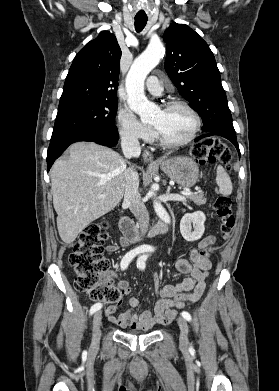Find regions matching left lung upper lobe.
Returning <instances> with one entry per match:
<instances>
[{
    "instance_id": "obj_1",
    "label": "left lung upper lobe",
    "mask_w": 279,
    "mask_h": 391,
    "mask_svg": "<svg viewBox=\"0 0 279 391\" xmlns=\"http://www.w3.org/2000/svg\"><path fill=\"white\" fill-rule=\"evenodd\" d=\"M163 39L167 45L165 70L180 95L201 116L203 132L236 134L226 93L212 51L184 24L172 23Z\"/></svg>"
}]
</instances>
